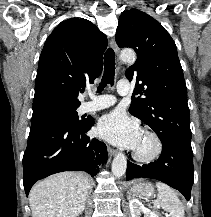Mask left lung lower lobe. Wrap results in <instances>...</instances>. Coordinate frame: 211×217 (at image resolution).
Returning <instances> with one entry per match:
<instances>
[{
  "instance_id": "1",
  "label": "left lung lower lobe",
  "mask_w": 211,
  "mask_h": 217,
  "mask_svg": "<svg viewBox=\"0 0 211 217\" xmlns=\"http://www.w3.org/2000/svg\"><path fill=\"white\" fill-rule=\"evenodd\" d=\"M160 140L163 147L157 161L143 166L127 162V180L140 177L160 180L179 190L189 201L194 181L191 141L176 136Z\"/></svg>"
}]
</instances>
